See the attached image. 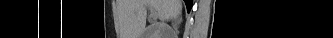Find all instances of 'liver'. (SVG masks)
Returning a JSON list of instances; mask_svg holds the SVG:
<instances>
[{"label": "liver", "mask_w": 333, "mask_h": 38, "mask_svg": "<svg viewBox=\"0 0 333 38\" xmlns=\"http://www.w3.org/2000/svg\"><path fill=\"white\" fill-rule=\"evenodd\" d=\"M131 5L130 7H132ZM147 8L154 9L161 21L177 18L182 11L181 0H136L135 35L141 36L146 26ZM162 23L160 26H163Z\"/></svg>", "instance_id": "obj_1"}]
</instances>
